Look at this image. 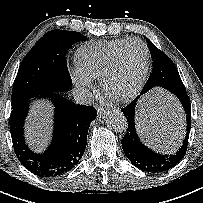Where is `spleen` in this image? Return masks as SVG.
I'll list each match as a JSON object with an SVG mask.
<instances>
[{"instance_id":"1","label":"spleen","mask_w":203,"mask_h":203,"mask_svg":"<svg viewBox=\"0 0 203 203\" xmlns=\"http://www.w3.org/2000/svg\"><path fill=\"white\" fill-rule=\"evenodd\" d=\"M153 99L155 100V102H157L158 104H160V108L163 109L165 107L164 104H166L167 102H170L171 101V98L168 96V95H165V94H155L153 96ZM178 145V144H177ZM176 147V146H175ZM172 149V148H171Z\"/></svg>"}]
</instances>
